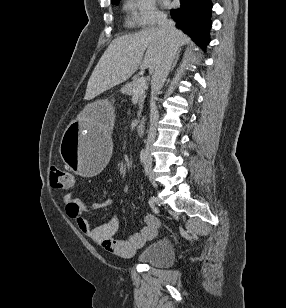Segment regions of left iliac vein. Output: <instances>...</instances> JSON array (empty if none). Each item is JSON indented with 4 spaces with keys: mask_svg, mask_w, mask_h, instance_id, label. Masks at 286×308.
I'll return each mask as SVG.
<instances>
[{
    "mask_svg": "<svg viewBox=\"0 0 286 308\" xmlns=\"http://www.w3.org/2000/svg\"><path fill=\"white\" fill-rule=\"evenodd\" d=\"M150 163H151V160L148 159V162H147L146 167H145L146 173H149V164H150Z\"/></svg>",
    "mask_w": 286,
    "mask_h": 308,
    "instance_id": "4c4485c4",
    "label": "left iliac vein"
}]
</instances>
